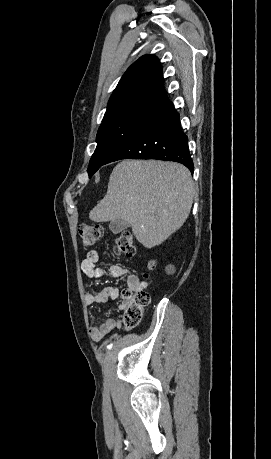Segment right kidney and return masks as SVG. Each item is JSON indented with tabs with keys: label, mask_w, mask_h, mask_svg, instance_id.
Returning <instances> with one entry per match:
<instances>
[{
	"label": "right kidney",
	"mask_w": 271,
	"mask_h": 459,
	"mask_svg": "<svg viewBox=\"0 0 271 459\" xmlns=\"http://www.w3.org/2000/svg\"><path fill=\"white\" fill-rule=\"evenodd\" d=\"M165 271L166 273H174L175 267H173V265H166Z\"/></svg>",
	"instance_id": "1"
}]
</instances>
